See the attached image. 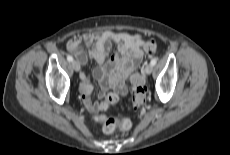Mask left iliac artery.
<instances>
[{
    "label": "left iliac artery",
    "instance_id": "left-iliac-artery-1",
    "mask_svg": "<svg viewBox=\"0 0 230 155\" xmlns=\"http://www.w3.org/2000/svg\"><path fill=\"white\" fill-rule=\"evenodd\" d=\"M156 63H157V58H153V59L151 60V64L154 66Z\"/></svg>",
    "mask_w": 230,
    "mask_h": 155
}]
</instances>
